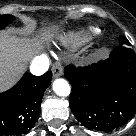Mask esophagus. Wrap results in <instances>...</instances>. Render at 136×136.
Returning <instances> with one entry per match:
<instances>
[{"instance_id": "1", "label": "esophagus", "mask_w": 136, "mask_h": 136, "mask_svg": "<svg viewBox=\"0 0 136 136\" xmlns=\"http://www.w3.org/2000/svg\"><path fill=\"white\" fill-rule=\"evenodd\" d=\"M53 77L57 78L62 76V67L60 63H55L52 67Z\"/></svg>"}]
</instances>
